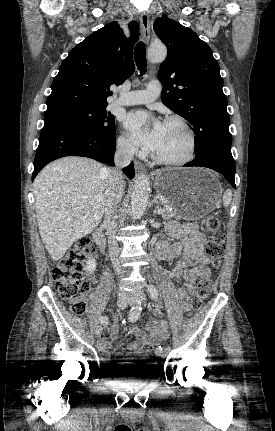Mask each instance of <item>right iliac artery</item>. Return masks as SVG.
Listing matches in <instances>:
<instances>
[{
  "label": "right iliac artery",
  "mask_w": 275,
  "mask_h": 431,
  "mask_svg": "<svg viewBox=\"0 0 275 431\" xmlns=\"http://www.w3.org/2000/svg\"><path fill=\"white\" fill-rule=\"evenodd\" d=\"M141 302L138 301L137 304L135 306L132 307L130 313H129V320L131 322H135L136 320H138V318L140 317V313H141ZM100 323L102 325H107L108 324V318L106 316H102L100 317Z\"/></svg>",
  "instance_id": "82829eb1"
}]
</instances>
